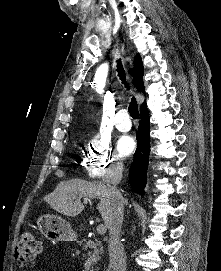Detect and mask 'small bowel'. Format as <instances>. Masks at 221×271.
Returning a JSON list of instances; mask_svg holds the SVG:
<instances>
[{
    "label": "small bowel",
    "instance_id": "obj_1",
    "mask_svg": "<svg viewBox=\"0 0 221 271\" xmlns=\"http://www.w3.org/2000/svg\"><path fill=\"white\" fill-rule=\"evenodd\" d=\"M53 266H54V262L50 261L49 264H48V267L51 269Z\"/></svg>",
    "mask_w": 221,
    "mask_h": 271
}]
</instances>
